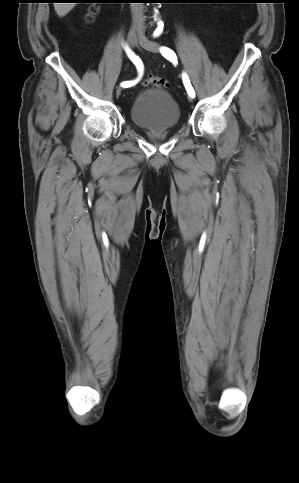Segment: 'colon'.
I'll return each mask as SVG.
<instances>
[{"mask_svg":"<svg viewBox=\"0 0 299 483\" xmlns=\"http://www.w3.org/2000/svg\"><path fill=\"white\" fill-rule=\"evenodd\" d=\"M97 12H98V9L96 7H91L86 16L87 22H92ZM144 84L147 86L158 87V88H167L169 85L165 79L155 75H148L144 80Z\"/></svg>","mask_w":299,"mask_h":483,"instance_id":"5ec220e1","label":"colon"}]
</instances>
